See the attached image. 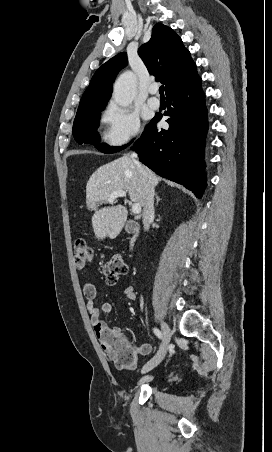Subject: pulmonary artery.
Listing matches in <instances>:
<instances>
[{
    "mask_svg": "<svg viewBox=\"0 0 272 452\" xmlns=\"http://www.w3.org/2000/svg\"><path fill=\"white\" fill-rule=\"evenodd\" d=\"M149 93H150L151 97L147 101L148 106L150 108L156 110V109H158L160 107L159 99L154 96L157 93V87L156 86H151L149 88Z\"/></svg>",
    "mask_w": 272,
    "mask_h": 452,
    "instance_id": "1",
    "label": "pulmonary artery"
}]
</instances>
